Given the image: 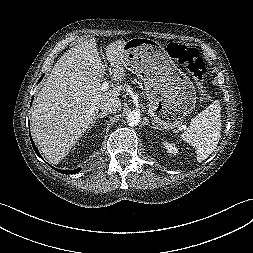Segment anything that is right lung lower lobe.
<instances>
[{"label":"right lung lower lobe","mask_w":253,"mask_h":253,"mask_svg":"<svg viewBox=\"0 0 253 253\" xmlns=\"http://www.w3.org/2000/svg\"><path fill=\"white\" fill-rule=\"evenodd\" d=\"M42 78H43V76L40 78V80H41ZM40 80H39V81H40ZM30 139H31V143H32V145H33V148H34L36 154H37L40 158H42L41 155L39 154V151H38L37 147L35 146V144H34L32 138H31V136H30ZM53 169H55L56 171H58V172H60V173H63V174H75V173H77V172H79V171L81 170V168H77V169H75V170H70V171H68V170H59V169H56V168H54V167H53Z\"/></svg>","instance_id":"right-lung-lower-lobe-1"}]
</instances>
